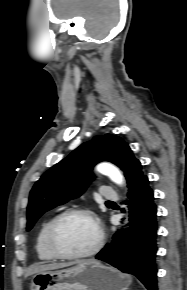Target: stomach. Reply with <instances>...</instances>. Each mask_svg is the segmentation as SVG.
<instances>
[{
	"label": "stomach",
	"instance_id": "1",
	"mask_svg": "<svg viewBox=\"0 0 187 290\" xmlns=\"http://www.w3.org/2000/svg\"><path fill=\"white\" fill-rule=\"evenodd\" d=\"M131 281L130 276L93 260L68 269L37 273L30 290H127Z\"/></svg>",
	"mask_w": 187,
	"mask_h": 290
}]
</instances>
